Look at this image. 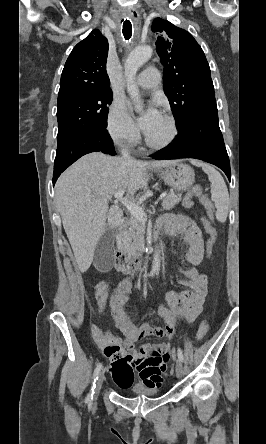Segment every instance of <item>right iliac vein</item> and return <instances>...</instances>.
<instances>
[{
  "label": "right iliac vein",
  "mask_w": 266,
  "mask_h": 444,
  "mask_svg": "<svg viewBox=\"0 0 266 444\" xmlns=\"http://www.w3.org/2000/svg\"><path fill=\"white\" fill-rule=\"evenodd\" d=\"M103 381H104V373L102 372L99 375V378H98L96 386H95V395H98V393L100 392Z\"/></svg>",
  "instance_id": "obj_1"
}]
</instances>
